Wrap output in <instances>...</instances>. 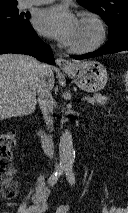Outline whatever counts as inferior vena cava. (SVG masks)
<instances>
[{"mask_svg":"<svg viewBox=\"0 0 128 213\" xmlns=\"http://www.w3.org/2000/svg\"><path fill=\"white\" fill-rule=\"evenodd\" d=\"M50 66L46 64L39 65V81L37 85L38 103L43 114V118L48 128L53 129V113L54 100L51 95V87L47 82V76Z\"/></svg>","mask_w":128,"mask_h":213,"instance_id":"602c4592","label":"inferior vena cava"}]
</instances>
